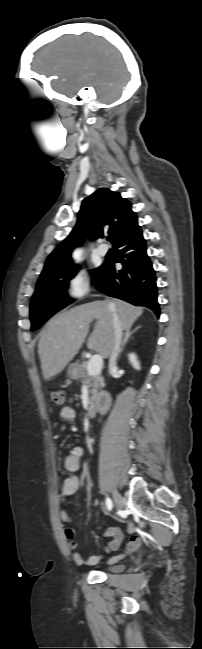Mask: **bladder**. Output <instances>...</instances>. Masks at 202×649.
<instances>
[{
    "instance_id": "31cf9c89",
    "label": "bladder",
    "mask_w": 202,
    "mask_h": 649,
    "mask_svg": "<svg viewBox=\"0 0 202 649\" xmlns=\"http://www.w3.org/2000/svg\"><path fill=\"white\" fill-rule=\"evenodd\" d=\"M124 566L122 564H115L107 568V571L109 572H120L122 571Z\"/></svg>"
}]
</instances>
